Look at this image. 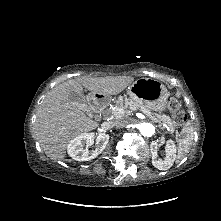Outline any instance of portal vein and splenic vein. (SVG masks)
Returning a JSON list of instances; mask_svg holds the SVG:
<instances>
[{
	"label": "portal vein and splenic vein",
	"instance_id": "1",
	"mask_svg": "<svg viewBox=\"0 0 221 221\" xmlns=\"http://www.w3.org/2000/svg\"><path fill=\"white\" fill-rule=\"evenodd\" d=\"M126 113V111L123 109V108H119L117 109V112H116V116L117 118L121 117L122 115H124ZM154 118V117H152ZM168 130H170L167 126H165Z\"/></svg>",
	"mask_w": 221,
	"mask_h": 221
}]
</instances>
